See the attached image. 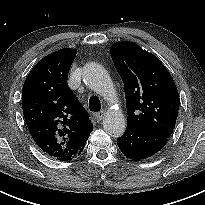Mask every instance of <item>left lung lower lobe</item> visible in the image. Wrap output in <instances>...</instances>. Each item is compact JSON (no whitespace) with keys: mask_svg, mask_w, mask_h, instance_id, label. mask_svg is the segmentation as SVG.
<instances>
[{"mask_svg":"<svg viewBox=\"0 0 205 205\" xmlns=\"http://www.w3.org/2000/svg\"><path fill=\"white\" fill-rule=\"evenodd\" d=\"M167 141L168 137L128 125L124 134L117 139L121 152L135 161L153 156L165 146Z\"/></svg>","mask_w":205,"mask_h":205,"instance_id":"obj_1","label":"left lung lower lobe"}]
</instances>
